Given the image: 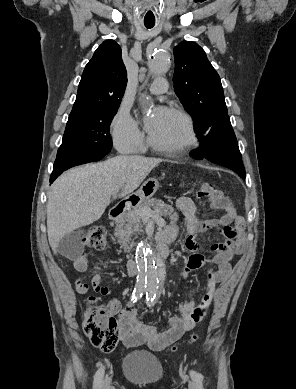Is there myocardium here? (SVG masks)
<instances>
[{
  "label": "myocardium",
  "instance_id": "obj_1",
  "mask_svg": "<svg viewBox=\"0 0 296 389\" xmlns=\"http://www.w3.org/2000/svg\"><path fill=\"white\" fill-rule=\"evenodd\" d=\"M168 111L176 114L179 116L185 125L186 130V137L185 139L178 144L174 145H163L160 143H157L151 135L148 136V143L149 145L160 152L167 153V154H181L187 150H189L191 147H193L197 141V134L194 126V122L192 117L184 110L176 108V107H170Z\"/></svg>",
  "mask_w": 296,
  "mask_h": 389
}]
</instances>
